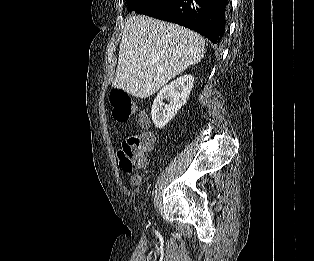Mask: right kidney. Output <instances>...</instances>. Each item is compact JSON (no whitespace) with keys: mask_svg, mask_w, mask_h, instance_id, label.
Here are the masks:
<instances>
[{"mask_svg":"<svg viewBox=\"0 0 314 261\" xmlns=\"http://www.w3.org/2000/svg\"><path fill=\"white\" fill-rule=\"evenodd\" d=\"M193 83L194 78L192 75H184L160 90L153 102L151 110L152 120L157 128H164L186 103ZM164 99L168 101V104H164Z\"/></svg>","mask_w":314,"mask_h":261,"instance_id":"right-kidney-1","label":"right kidney"}]
</instances>
